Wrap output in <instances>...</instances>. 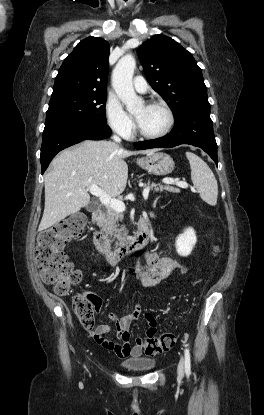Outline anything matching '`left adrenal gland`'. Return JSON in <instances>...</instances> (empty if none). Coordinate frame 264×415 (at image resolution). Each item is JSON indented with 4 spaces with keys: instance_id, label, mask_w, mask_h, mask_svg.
<instances>
[{
    "instance_id": "1",
    "label": "left adrenal gland",
    "mask_w": 264,
    "mask_h": 415,
    "mask_svg": "<svg viewBox=\"0 0 264 415\" xmlns=\"http://www.w3.org/2000/svg\"><path fill=\"white\" fill-rule=\"evenodd\" d=\"M158 198H159V197H157V198L154 200V202H153V207H155V206H156V203H157V201H158Z\"/></svg>"
}]
</instances>
